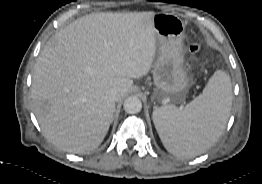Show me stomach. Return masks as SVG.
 <instances>
[{
    "instance_id": "0dacf381",
    "label": "stomach",
    "mask_w": 262,
    "mask_h": 184,
    "mask_svg": "<svg viewBox=\"0 0 262 184\" xmlns=\"http://www.w3.org/2000/svg\"><path fill=\"white\" fill-rule=\"evenodd\" d=\"M152 22L158 46V55L153 67L155 98L158 101L169 99L180 102L190 86L183 65L184 22L170 13H156Z\"/></svg>"
}]
</instances>
